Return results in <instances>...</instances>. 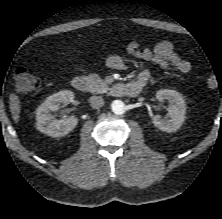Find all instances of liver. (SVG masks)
<instances>
[{
	"mask_svg": "<svg viewBox=\"0 0 222 219\" xmlns=\"http://www.w3.org/2000/svg\"><path fill=\"white\" fill-rule=\"evenodd\" d=\"M9 105H10V112L12 114V118L15 123H18L20 118V100L19 97L15 93H11L9 96Z\"/></svg>",
	"mask_w": 222,
	"mask_h": 219,
	"instance_id": "liver-1",
	"label": "liver"
}]
</instances>
